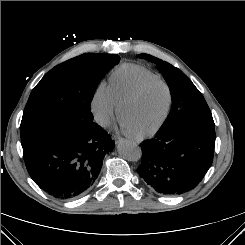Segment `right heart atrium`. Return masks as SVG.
<instances>
[{"instance_id":"obj_1","label":"right heart atrium","mask_w":245,"mask_h":245,"mask_svg":"<svg viewBox=\"0 0 245 245\" xmlns=\"http://www.w3.org/2000/svg\"><path fill=\"white\" fill-rule=\"evenodd\" d=\"M91 109L96 121L103 127L109 126L118 113L116 102L110 86L100 82L91 101Z\"/></svg>"}]
</instances>
